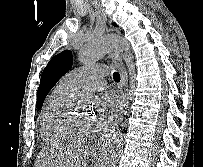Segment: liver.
Listing matches in <instances>:
<instances>
[{"label": "liver", "mask_w": 203, "mask_h": 167, "mask_svg": "<svg viewBox=\"0 0 203 167\" xmlns=\"http://www.w3.org/2000/svg\"><path fill=\"white\" fill-rule=\"evenodd\" d=\"M92 153L91 148L81 144L45 148L40 152L35 167H87Z\"/></svg>", "instance_id": "6515ba94"}]
</instances>
